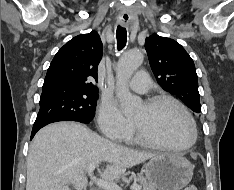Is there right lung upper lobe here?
<instances>
[{
  "label": "right lung upper lobe",
  "instance_id": "obj_1",
  "mask_svg": "<svg viewBox=\"0 0 234 190\" xmlns=\"http://www.w3.org/2000/svg\"><path fill=\"white\" fill-rule=\"evenodd\" d=\"M103 48L96 31L72 38L56 53L43 86L97 90V66Z\"/></svg>",
  "mask_w": 234,
  "mask_h": 190
}]
</instances>
